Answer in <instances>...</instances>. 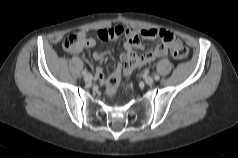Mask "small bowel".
<instances>
[{
  "label": "small bowel",
  "instance_id": "c3829d8e",
  "mask_svg": "<svg viewBox=\"0 0 238 158\" xmlns=\"http://www.w3.org/2000/svg\"><path fill=\"white\" fill-rule=\"evenodd\" d=\"M114 36H118L120 34H124L125 41V52L121 55V63L115 69L111 76L105 77L103 70L101 67H98L96 70V77L99 82L106 87L109 93L112 92L111 81L116 80L118 83L121 78L125 75L130 74L135 68L144 66L157 58L165 57L168 54V46L169 44L175 41L174 35L164 29H154V28H145V29H135V28H126L123 29L121 27L111 28ZM82 40L81 47L79 51L83 47L91 48L96 45V40L94 37L89 36L87 32L80 31L77 33ZM160 39V43H158L153 49L146 51L145 53L138 55L134 52V50H143V44L140 39ZM78 51V52H79ZM107 53V49L97 50L93 58L96 61H102L104 56ZM133 57V61H131Z\"/></svg>",
  "mask_w": 238,
  "mask_h": 158
}]
</instances>
